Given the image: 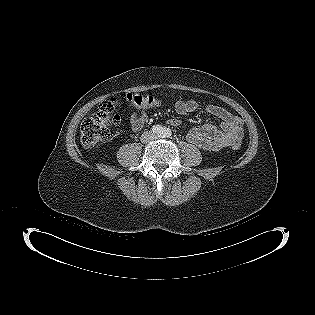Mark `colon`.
Returning a JSON list of instances; mask_svg holds the SVG:
<instances>
[{"label":"colon","mask_w":315,"mask_h":315,"mask_svg":"<svg viewBox=\"0 0 315 315\" xmlns=\"http://www.w3.org/2000/svg\"><path fill=\"white\" fill-rule=\"evenodd\" d=\"M123 98L137 107H151L159 105L161 100L154 95L125 94ZM117 99L104 101L97 112L84 120L80 130V141L84 148H91L106 141L110 137V129L119 123L120 115L116 112ZM234 150L240 148V144L232 146Z\"/></svg>","instance_id":"colon-1"}]
</instances>
